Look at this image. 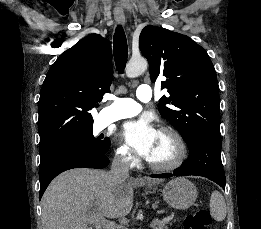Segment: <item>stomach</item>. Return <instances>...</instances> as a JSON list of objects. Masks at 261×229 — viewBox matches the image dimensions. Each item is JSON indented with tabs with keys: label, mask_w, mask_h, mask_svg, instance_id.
<instances>
[{
	"label": "stomach",
	"mask_w": 261,
	"mask_h": 229,
	"mask_svg": "<svg viewBox=\"0 0 261 229\" xmlns=\"http://www.w3.org/2000/svg\"><path fill=\"white\" fill-rule=\"evenodd\" d=\"M162 193L166 203L172 209H182V211L194 205L198 195L195 185L183 177L167 183Z\"/></svg>",
	"instance_id": "0dacf381"
}]
</instances>
